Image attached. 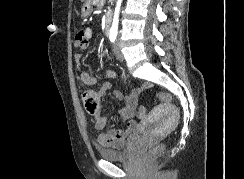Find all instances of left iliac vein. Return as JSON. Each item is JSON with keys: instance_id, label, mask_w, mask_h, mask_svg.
Instances as JSON below:
<instances>
[{"instance_id": "left-iliac-vein-1", "label": "left iliac vein", "mask_w": 244, "mask_h": 179, "mask_svg": "<svg viewBox=\"0 0 244 179\" xmlns=\"http://www.w3.org/2000/svg\"><path fill=\"white\" fill-rule=\"evenodd\" d=\"M114 53H115V56L118 60L123 61V54L121 52L120 40L119 39H117V41L114 45Z\"/></svg>"}]
</instances>
